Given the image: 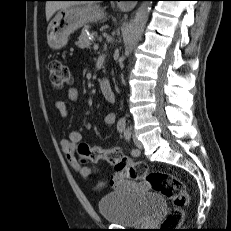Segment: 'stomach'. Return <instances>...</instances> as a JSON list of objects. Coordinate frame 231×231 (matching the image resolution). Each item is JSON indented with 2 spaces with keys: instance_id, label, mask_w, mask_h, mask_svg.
<instances>
[{
  "instance_id": "stomach-1",
  "label": "stomach",
  "mask_w": 231,
  "mask_h": 231,
  "mask_svg": "<svg viewBox=\"0 0 231 231\" xmlns=\"http://www.w3.org/2000/svg\"><path fill=\"white\" fill-rule=\"evenodd\" d=\"M104 16V10L92 3L60 9L48 25V45L52 49H61L66 46L71 33L88 23L102 20Z\"/></svg>"
}]
</instances>
